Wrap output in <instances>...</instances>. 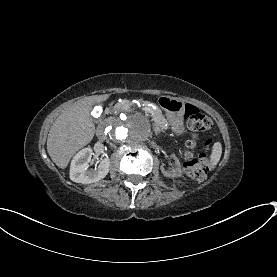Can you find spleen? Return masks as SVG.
Here are the masks:
<instances>
[{
  "instance_id": "1",
  "label": "spleen",
  "mask_w": 277,
  "mask_h": 277,
  "mask_svg": "<svg viewBox=\"0 0 277 277\" xmlns=\"http://www.w3.org/2000/svg\"><path fill=\"white\" fill-rule=\"evenodd\" d=\"M221 154H222L221 143L219 142L214 143L212 148V153L210 156L212 166H215L219 162Z\"/></svg>"
}]
</instances>
